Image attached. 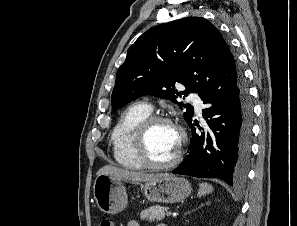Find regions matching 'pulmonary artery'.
<instances>
[{
    "label": "pulmonary artery",
    "instance_id": "pulmonary-artery-1",
    "mask_svg": "<svg viewBox=\"0 0 297 226\" xmlns=\"http://www.w3.org/2000/svg\"><path fill=\"white\" fill-rule=\"evenodd\" d=\"M189 99L194 103L197 112L200 114L202 111V108H203L202 100L195 93H191L189 95ZM145 104L151 108V106L149 104H147V103H145Z\"/></svg>",
    "mask_w": 297,
    "mask_h": 226
}]
</instances>
